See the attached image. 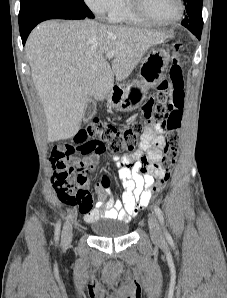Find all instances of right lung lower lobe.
<instances>
[{"mask_svg": "<svg viewBox=\"0 0 227 298\" xmlns=\"http://www.w3.org/2000/svg\"><path fill=\"white\" fill-rule=\"evenodd\" d=\"M94 17V16H93ZM87 17L84 15L79 14H72V13H65V12H58V11H50L37 14L36 16L32 17L22 25H19L20 28V35L23 42V45L26 42V39L31 32V30L40 22L48 19H85V18H93Z\"/></svg>", "mask_w": 227, "mask_h": 298, "instance_id": "obj_1", "label": "right lung lower lobe"}]
</instances>
